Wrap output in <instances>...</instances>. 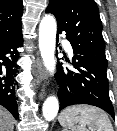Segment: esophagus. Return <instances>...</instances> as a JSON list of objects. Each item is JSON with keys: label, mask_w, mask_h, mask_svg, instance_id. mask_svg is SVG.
<instances>
[{"label": "esophagus", "mask_w": 117, "mask_h": 131, "mask_svg": "<svg viewBox=\"0 0 117 131\" xmlns=\"http://www.w3.org/2000/svg\"><path fill=\"white\" fill-rule=\"evenodd\" d=\"M37 71H38V78L40 80H46L47 79V74H46L40 60L37 61ZM40 96L43 97V94L41 93Z\"/></svg>", "instance_id": "esophagus-1"}]
</instances>
